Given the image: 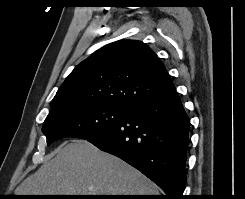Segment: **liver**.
<instances>
[{
  "instance_id": "liver-1",
  "label": "liver",
  "mask_w": 245,
  "mask_h": 199,
  "mask_svg": "<svg viewBox=\"0 0 245 199\" xmlns=\"http://www.w3.org/2000/svg\"><path fill=\"white\" fill-rule=\"evenodd\" d=\"M16 195H159L157 186L120 158L72 140L28 176Z\"/></svg>"
}]
</instances>
